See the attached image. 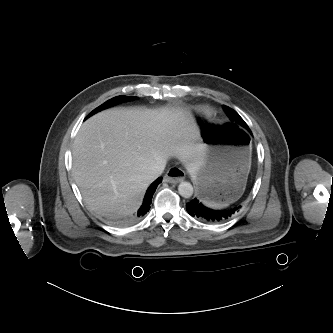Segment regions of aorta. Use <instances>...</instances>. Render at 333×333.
<instances>
[{
    "label": "aorta",
    "instance_id": "obj_1",
    "mask_svg": "<svg viewBox=\"0 0 333 333\" xmlns=\"http://www.w3.org/2000/svg\"><path fill=\"white\" fill-rule=\"evenodd\" d=\"M193 191V186L189 182H181L178 186V192L184 198H190Z\"/></svg>",
    "mask_w": 333,
    "mask_h": 333
}]
</instances>
